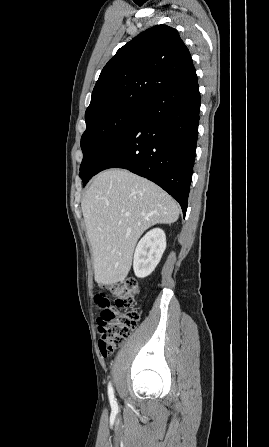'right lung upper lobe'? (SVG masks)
I'll return each mask as SVG.
<instances>
[{"label":"right lung upper lobe","mask_w":269,"mask_h":447,"mask_svg":"<svg viewBox=\"0 0 269 447\" xmlns=\"http://www.w3.org/2000/svg\"><path fill=\"white\" fill-rule=\"evenodd\" d=\"M193 66L179 33L156 25L120 48L103 68L85 120L117 108L142 104Z\"/></svg>","instance_id":"right-lung-upper-lobe-1"}]
</instances>
